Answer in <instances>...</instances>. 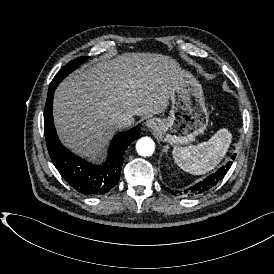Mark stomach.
<instances>
[{"mask_svg":"<svg viewBox=\"0 0 274 274\" xmlns=\"http://www.w3.org/2000/svg\"><path fill=\"white\" fill-rule=\"evenodd\" d=\"M174 82L169 116L163 119L156 135L161 141L180 147L190 144L205 132L209 113L202 86L190 72L179 68Z\"/></svg>","mask_w":274,"mask_h":274,"instance_id":"1","label":"stomach"}]
</instances>
